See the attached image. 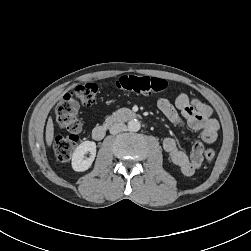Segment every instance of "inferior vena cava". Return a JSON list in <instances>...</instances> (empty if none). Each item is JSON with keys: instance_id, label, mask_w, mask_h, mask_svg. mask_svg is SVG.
I'll use <instances>...</instances> for the list:
<instances>
[{"instance_id": "inferior-vena-cava-1", "label": "inferior vena cava", "mask_w": 251, "mask_h": 251, "mask_svg": "<svg viewBox=\"0 0 251 251\" xmlns=\"http://www.w3.org/2000/svg\"><path fill=\"white\" fill-rule=\"evenodd\" d=\"M127 129L126 125L124 123H114L111 127H110V133L111 134H118L120 132H123Z\"/></svg>"}]
</instances>
